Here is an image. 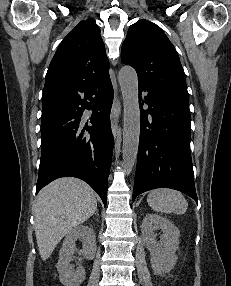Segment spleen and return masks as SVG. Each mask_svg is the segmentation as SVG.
<instances>
[{"mask_svg":"<svg viewBox=\"0 0 231 286\" xmlns=\"http://www.w3.org/2000/svg\"><path fill=\"white\" fill-rule=\"evenodd\" d=\"M148 205L156 212L183 214L188 208L184 195L176 190L159 188L147 196Z\"/></svg>","mask_w":231,"mask_h":286,"instance_id":"obj_1","label":"spleen"}]
</instances>
